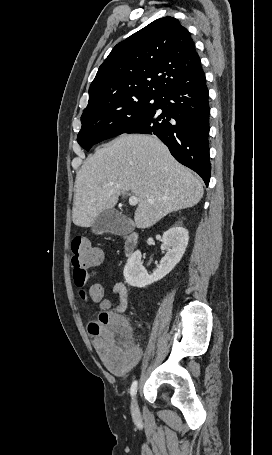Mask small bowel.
I'll use <instances>...</instances> for the list:
<instances>
[{"instance_id":"1","label":"small bowel","mask_w":272,"mask_h":455,"mask_svg":"<svg viewBox=\"0 0 272 455\" xmlns=\"http://www.w3.org/2000/svg\"><path fill=\"white\" fill-rule=\"evenodd\" d=\"M113 292L118 297V303L113 307L110 314H112L114 317L122 319L121 315L127 307L128 289L123 283H117L114 286ZM139 356L140 352L137 350L134 362L138 360Z\"/></svg>"}]
</instances>
